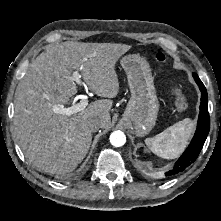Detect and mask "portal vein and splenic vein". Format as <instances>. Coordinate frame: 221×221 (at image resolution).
<instances>
[{"mask_svg":"<svg viewBox=\"0 0 221 221\" xmlns=\"http://www.w3.org/2000/svg\"><path fill=\"white\" fill-rule=\"evenodd\" d=\"M82 68H80L79 70L73 72V75H72V80L75 81L77 84H79L80 86H84L85 87V84L82 82L81 80V72ZM80 102L77 103V104H73L72 106L70 107H64L63 105L58 107V106H55L53 108V111L55 113H59V114H64V115H68V116H71L77 112H80L82 110H84L86 108V106L88 105V100H87V97L86 96H80Z\"/></svg>","mask_w":221,"mask_h":221,"instance_id":"1","label":"portal vein and splenic vein"}]
</instances>
